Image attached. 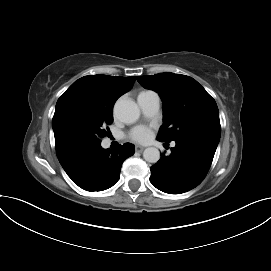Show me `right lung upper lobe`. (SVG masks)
<instances>
[{"label":"right lung upper lobe","mask_w":271,"mask_h":271,"mask_svg":"<svg viewBox=\"0 0 271 271\" xmlns=\"http://www.w3.org/2000/svg\"><path fill=\"white\" fill-rule=\"evenodd\" d=\"M134 81L135 77L84 76L74 82L58 99L55 112L65 102L74 98H80L95 105L113 108L115 101L132 88ZM55 148L59 162L76 152L63 146L56 138Z\"/></svg>","instance_id":"cb5924a9"}]
</instances>
